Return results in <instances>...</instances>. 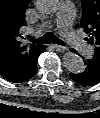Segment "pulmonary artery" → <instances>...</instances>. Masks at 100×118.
I'll return each instance as SVG.
<instances>
[{
    "label": "pulmonary artery",
    "mask_w": 100,
    "mask_h": 118,
    "mask_svg": "<svg viewBox=\"0 0 100 118\" xmlns=\"http://www.w3.org/2000/svg\"><path fill=\"white\" fill-rule=\"evenodd\" d=\"M73 16L74 6L69 0H67L59 7L57 13L59 33L76 50L85 55H91L92 47L81 40L72 30ZM43 26L47 27L48 23H44Z\"/></svg>",
    "instance_id": "obj_1"
}]
</instances>
